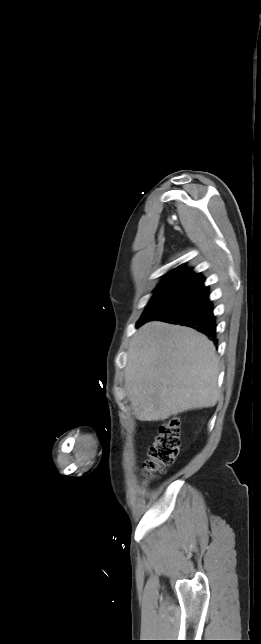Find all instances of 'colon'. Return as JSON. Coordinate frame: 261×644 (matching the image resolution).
<instances>
[{
  "label": "colon",
  "instance_id": "colon-1",
  "mask_svg": "<svg viewBox=\"0 0 261 644\" xmlns=\"http://www.w3.org/2000/svg\"><path fill=\"white\" fill-rule=\"evenodd\" d=\"M180 447V420L173 416L162 422L157 436L148 450L145 472L149 478L162 474L173 464Z\"/></svg>",
  "mask_w": 261,
  "mask_h": 644
}]
</instances>
